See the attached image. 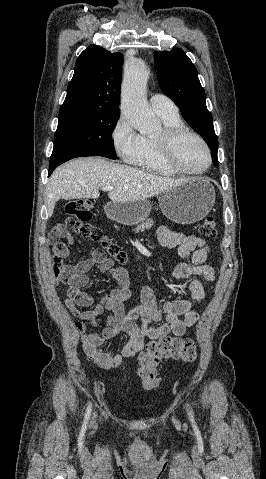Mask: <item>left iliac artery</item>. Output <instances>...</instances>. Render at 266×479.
I'll use <instances>...</instances> for the list:
<instances>
[{"instance_id":"obj_1","label":"left iliac artery","mask_w":266,"mask_h":479,"mask_svg":"<svg viewBox=\"0 0 266 479\" xmlns=\"http://www.w3.org/2000/svg\"><path fill=\"white\" fill-rule=\"evenodd\" d=\"M188 414H189V416H190L191 418L194 417L193 411H192L191 407L189 406V404H188Z\"/></svg>"}]
</instances>
